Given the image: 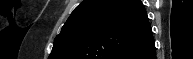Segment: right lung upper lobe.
Here are the masks:
<instances>
[{
	"label": "right lung upper lobe",
	"instance_id": "obj_1",
	"mask_svg": "<svg viewBox=\"0 0 193 59\" xmlns=\"http://www.w3.org/2000/svg\"><path fill=\"white\" fill-rule=\"evenodd\" d=\"M151 37L140 0H84L56 36L49 59H124Z\"/></svg>",
	"mask_w": 193,
	"mask_h": 59
}]
</instances>
